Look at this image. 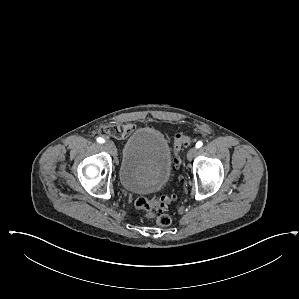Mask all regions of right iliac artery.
I'll return each mask as SVG.
<instances>
[{
	"mask_svg": "<svg viewBox=\"0 0 299 299\" xmlns=\"http://www.w3.org/2000/svg\"><path fill=\"white\" fill-rule=\"evenodd\" d=\"M97 142L102 144V143L105 142V140L103 138H101V137H98L97 138Z\"/></svg>",
	"mask_w": 299,
	"mask_h": 299,
	"instance_id": "1",
	"label": "right iliac artery"
}]
</instances>
